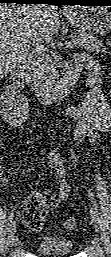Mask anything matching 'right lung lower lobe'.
<instances>
[{"label":"right lung lower lobe","instance_id":"1","mask_svg":"<svg viewBox=\"0 0 111 257\" xmlns=\"http://www.w3.org/2000/svg\"><path fill=\"white\" fill-rule=\"evenodd\" d=\"M51 0H1V2H15V3H50Z\"/></svg>","mask_w":111,"mask_h":257}]
</instances>
